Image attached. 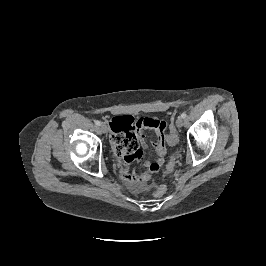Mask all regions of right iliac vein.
Masks as SVG:
<instances>
[{
  "label": "right iliac vein",
  "mask_w": 266,
  "mask_h": 266,
  "mask_svg": "<svg viewBox=\"0 0 266 266\" xmlns=\"http://www.w3.org/2000/svg\"><path fill=\"white\" fill-rule=\"evenodd\" d=\"M100 130H101L103 133H107L108 128H107V126H106L105 124H101V125H100Z\"/></svg>",
  "instance_id": "obj_1"
}]
</instances>
